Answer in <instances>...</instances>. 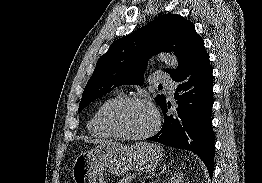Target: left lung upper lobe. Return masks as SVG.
Masks as SVG:
<instances>
[{"instance_id": "1", "label": "left lung upper lobe", "mask_w": 262, "mask_h": 183, "mask_svg": "<svg viewBox=\"0 0 262 183\" xmlns=\"http://www.w3.org/2000/svg\"><path fill=\"white\" fill-rule=\"evenodd\" d=\"M203 48L204 41L191 21L177 14L159 16L132 34L113 42L99 58L84 89L78 113L117 86L143 85V74L152 55L161 51L174 52L178 67L165 70L172 77ZM154 100L160 106L166 98L158 95Z\"/></svg>"}]
</instances>
